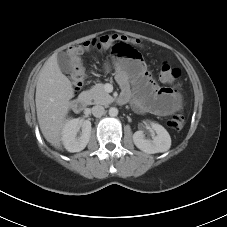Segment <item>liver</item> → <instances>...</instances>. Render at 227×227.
Masks as SVG:
<instances>
[{
	"label": "liver",
	"instance_id": "liver-1",
	"mask_svg": "<svg viewBox=\"0 0 227 227\" xmlns=\"http://www.w3.org/2000/svg\"><path fill=\"white\" fill-rule=\"evenodd\" d=\"M73 97L72 84L61 72L57 56L52 55L39 72L35 101L40 130L56 149L62 148V128Z\"/></svg>",
	"mask_w": 227,
	"mask_h": 227
}]
</instances>
